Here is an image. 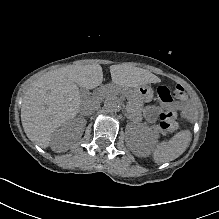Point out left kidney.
I'll list each match as a JSON object with an SVG mask.
<instances>
[{
    "label": "left kidney",
    "mask_w": 219,
    "mask_h": 219,
    "mask_svg": "<svg viewBox=\"0 0 219 219\" xmlns=\"http://www.w3.org/2000/svg\"><path fill=\"white\" fill-rule=\"evenodd\" d=\"M160 138V134L158 132H140L137 134L136 145L137 148L148 149L151 150L152 148L158 145V140Z\"/></svg>",
    "instance_id": "5707ae66"
}]
</instances>
